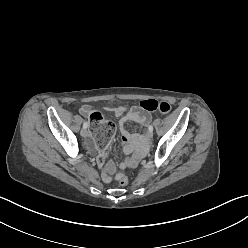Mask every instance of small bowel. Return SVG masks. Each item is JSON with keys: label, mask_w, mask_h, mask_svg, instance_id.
<instances>
[{"label": "small bowel", "mask_w": 248, "mask_h": 248, "mask_svg": "<svg viewBox=\"0 0 248 248\" xmlns=\"http://www.w3.org/2000/svg\"><path fill=\"white\" fill-rule=\"evenodd\" d=\"M105 110H111L114 112L115 116L120 117L119 126L121 132V138L124 142V152L129 154L135 151L134 157L127 162L130 166H136L141 156L144 154L146 148V138L142 134L130 133L125 125L128 122H135L141 126L146 127L151 122V115L142 110L139 106H133L127 108L125 106H117L115 108L104 107ZM82 115L86 117H91L94 112L90 105L84 104L79 108ZM87 147L90 149L95 148L94 140L91 135L88 136L86 141ZM125 163H121L120 167L124 168ZM114 171V166L110 164L106 166L103 170L102 177L105 182H111V173Z\"/></svg>", "instance_id": "1"}]
</instances>
